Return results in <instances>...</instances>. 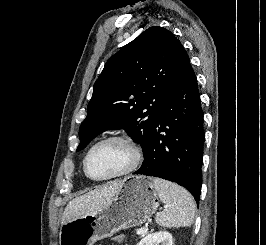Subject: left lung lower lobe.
Masks as SVG:
<instances>
[{
	"mask_svg": "<svg viewBox=\"0 0 266 245\" xmlns=\"http://www.w3.org/2000/svg\"><path fill=\"white\" fill-rule=\"evenodd\" d=\"M203 114L197 79L188 60L154 119L143 164L133 174L175 182L198 203L205 141Z\"/></svg>",
	"mask_w": 266,
	"mask_h": 245,
	"instance_id": "obj_1",
	"label": "left lung lower lobe"
}]
</instances>
